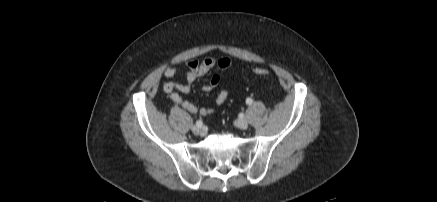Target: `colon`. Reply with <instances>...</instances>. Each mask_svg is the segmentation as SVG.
<instances>
[{
    "instance_id": "obj_1",
    "label": "colon",
    "mask_w": 437,
    "mask_h": 202,
    "mask_svg": "<svg viewBox=\"0 0 437 202\" xmlns=\"http://www.w3.org/2000/svg\"><path fill=\"white\" fill-rule=\"evenodd\" d=\"M253 73L257 76L264 77V76H267L269 74V71L266 68L257 67V68L253 69Z\"/></svg>"
}]
</instances>
